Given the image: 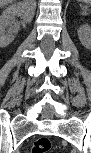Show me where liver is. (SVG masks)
I'll return each mask as SVG.
<instances>
[{
  "label": "liver",
  "instance_id": "obj_1",
  "mask_svg": "<svg viewBox=\"0 0 91 153\" xmlns=\"http://www.w3.org/2000/svg\"><path fill=\"white\" fill-rule=\"evenodd\" d=\"M10 2H12V0H1V5H6ZM31 2H34V1H31Z\"/></svg>",
  "mask_w": 91,
  "mask_h": 153
}]
</instances>
